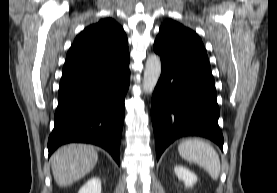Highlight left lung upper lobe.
<instances>
[{"mask_svg": "<svg viewBox=\"0 0 277 193\" xmlns=\"http://www.w3.org/2000/svg\"><path fill=\"white\" fill-rule=\"evenodd\" d=\"M157 42L169 52L184 58L200 59L209 62L206 50L199 36L180 23L167 19L160 27Z\"/></svg>", "mask_w": 277, "mask_h": 193, "instance_id": "left-lung-upper-lobe-1", "label": "left lung upper lobe"}]
</instances>
